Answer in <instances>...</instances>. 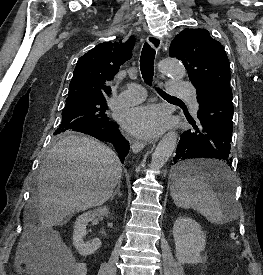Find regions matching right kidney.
<instances>
[{"label":"right kidney","instance_id":"ca27d5eb","mask_svg":"<svg viewBox=\"0 0 263 275\" xmlns=\"http://www.w3.org/2000/svg\"><path fill=\"white\" fill-rule=\"evenodd\" d=\"M108 214L109 209L107 207H99L93 211L83 213L77 218L73 231V244L80 255H91L101 247L99 238L93 239L90 243H85L83 238L86 235V226L89 222L97 216H108Z\"/></svg>","mask_w":263,"mask_h":275}]
</instances>
